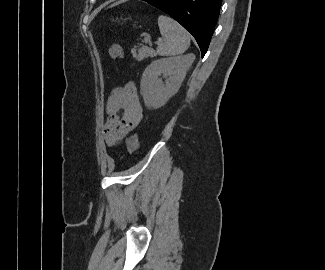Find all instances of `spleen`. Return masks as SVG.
I'll return each mask as SVG.
<instances>
[{"label": "spleen", "mask_w": 325, "mask_h": 270, "mask_svg": "<svg viewBox=\"0 0 325 270\" xmlns=\"http://www.w3.org/2000/svg\"><path fill=\"white\" fill-rule=\"evenodd\" d=\"M158 26L164 42L157 47L160 56H175L184 53L190 45L189 33L174 19L165 15L158 17Z\"/></svg>", "instance_id": "spleen-1"}]
</instances>
